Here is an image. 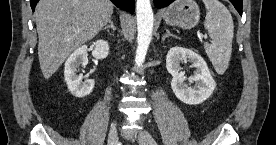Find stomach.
<instances>
[{"label":"stomach","mask_w":276,"mask_h":145,"mask_svg":"<svg viewBox=\"0 0 276 145\" xmlns=\"http://www.w3.org/2000/svg\"><path fill=\"white\" fill-rule=\"evenodd\" d=\"M163 18L169 25L190 29L197 25L200 10L194 0H176L166 9Z\"/></svg>","instance_id":"0dacf381"}]
</instances>
